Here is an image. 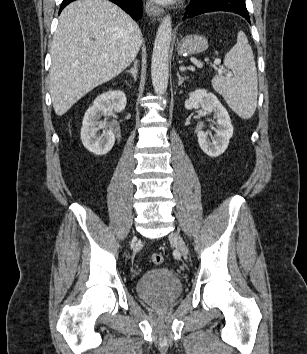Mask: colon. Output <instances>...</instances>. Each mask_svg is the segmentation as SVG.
I'll list each match as a JSON object with an SVG mask.
<instances>
[{"mask_svg":"<svg viewBox=\"0 0 307 354\" xmlns=\"http://www.w3.org/2000/svg\"><path fill=\"white\" fill-rule=\"evenodd\" d=\"M151 261L153 262V264L155 265H161L164 261V257L162 254L160 253H154L151 256Z\"/></svg>","mask_w":307,"mask_h":354,"instance_id":"5ec220e1","label":"colon"}]
</instances>
